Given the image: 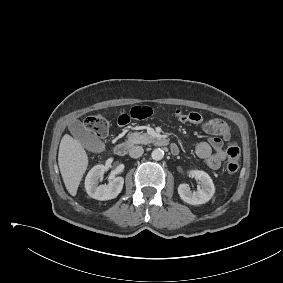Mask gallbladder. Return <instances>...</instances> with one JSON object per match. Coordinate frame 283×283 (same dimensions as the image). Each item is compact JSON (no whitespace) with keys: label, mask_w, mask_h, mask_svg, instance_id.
<instances>
[{"label":"gallbladder","mask_w":283,"mask_h":283,"mask_svg":"<svg viewBox=\"0 0 283 283\" xmlns=\"http://www.w3.org/2000/svg\"><path fill=\"white\" fill-rule=\"evenodd\" d=\"M69 130L74 138L87 150L98 153L105 150V144L80 121H73Z\"/></svg>","instance_id":"bac80fb5"}]
</instances>
